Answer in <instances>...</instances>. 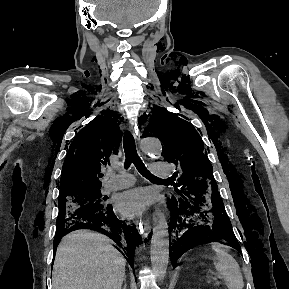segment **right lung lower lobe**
Segmentation results:
<instances>
[{
  "label": "right lung lower lobe",
  "instance_id": "1",
  "mask_svg": "<svg viewBox=\"0 0 289 289\" xmlns=\"http://www.w3.org/2000/svg\"><path fill=\"white\" fill-rule=\"evenodd\" d=\"M77 229H91L110 237L118 245L117 249L133 267L135 247L140 241L138 231L135 227L126 226L124 222L118 220L111 205L95 214L84 215L72 220L61 231L58 229L54 238V249L57 248L64 235Z\"/></svg>",
  "mask_w": 289,
  "mask_h": 289
}]
</instances>
